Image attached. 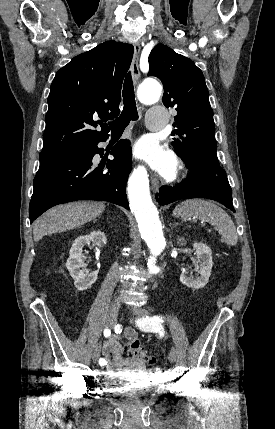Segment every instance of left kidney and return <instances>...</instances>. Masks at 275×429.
Listing matches in <instances>:
<instances>
[{"mask_svg":"<svg viewBox=\"0 0 275 429\" xmlns=\"http://www.w3.org/2000/svg\"><path fill=\"white\" fill-rule=\"evenodd\" d=\"M178 244L185 245V238H178ZM193 248L196 251L197 258L200 261L199 270L197 271L200 276L191 277L184 273L180 275V282L187 287L200 289L203 288L209 281L211 269L213 266L212 252L209 246L201 242H195Z\"/></svg>","mask_w":275,"mask_h":429,"instance_id":"obj_1","label":"left kidney"}]
</instances>
